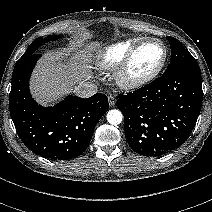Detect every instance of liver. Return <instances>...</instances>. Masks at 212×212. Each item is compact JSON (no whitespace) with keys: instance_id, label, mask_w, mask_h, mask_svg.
<instances>
[{"instance_id":"1","label":"liver","mask_w":212,"mask_h":212,"mask_svg":"<svg viewBox=\"0 0 212 212\" xmlns=\"http://www.w3.org/2000/svg\"><path fill=\"white\" fill-rule=\"evenodd\" d=\"M96 47L97 43H92L83 49L78 43L68 50L45 54L31 79L35 99L44 105L54 103L90 79L91 50Z\"/></svg>"}]
</instances>
